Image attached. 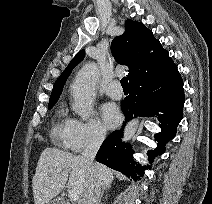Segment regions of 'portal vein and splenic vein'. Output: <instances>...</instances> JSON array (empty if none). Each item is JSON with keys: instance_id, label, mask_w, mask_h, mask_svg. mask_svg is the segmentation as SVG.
<instances>
[{"instance_id": "1", "label": "portal vein and splenic vein", "mask_w": 212, "mask_h": 204, "mask_svg": "<svg viewBox=\"0 0 212 204\" xmlns=\"http://www.w3.org/2000/svg\"><path fill=\"white\" fill-rule=\"evenodd\" d=\"M57 172L61 173L62 170L61 169H57ZM68 197L72 201H77L79 199V192L76 189H70L68 191Z\"/></svg>"}]
</instances>
